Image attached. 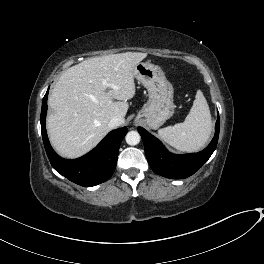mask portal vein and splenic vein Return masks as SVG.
Instances as JSON below:
<instances>
[{
	"mask_svg": "<svg viewBox=\"0 0 264 264\" xmlns=\"http://www.w3.org/2000/svg\"><path fill=\"white\" fill-rule=\"evenodd\" d=\"M103 84H104L106 87H113V88H116V86H111V85L108 84L106 81H104Z\"/></svg>",
	"mask_w": 264,
	"mask_h": 264,
	"instance_id": "obj_1",
	"label": "portal vein and splenic vein"
}]
</instances>
